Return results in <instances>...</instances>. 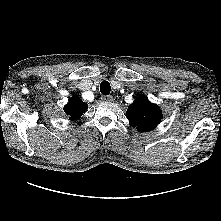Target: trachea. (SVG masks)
Returning <instances> with one entry per match:
<instances>
[{"mask_svg": "<svg viewBox=\"0 0 221 221\" xmlns=\"http://www.w3.org/2000/svg\"><path fill=\"white\" fill-rule=\"evenodd\" d=\"M111 90L110 83L108 81H103L100 84V91L102 94L109 95Z\"/></svg>", "mask_w": 221, "mask_h": 221, "instance_id": "obj_1", "label": "trachea"}]
</instances>
